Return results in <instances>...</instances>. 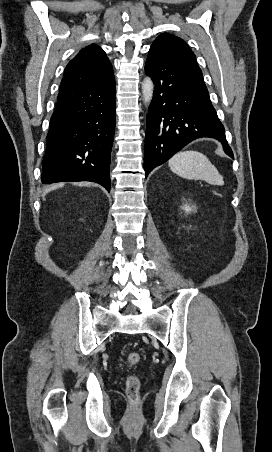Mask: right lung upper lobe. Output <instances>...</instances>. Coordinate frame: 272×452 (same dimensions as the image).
Wrapping results in <instances>:
<instances>
[{"label":"right lung upper lobe","mask_w":272,"mask_h":452,"mask_svg":"<svg viewBox=\"0 0 272 452\" xmlns=\"http://www.w3.org/2000/svg\"><path fill=\"white\" fill-rule=\"evenodd\" d=\"M114 77L105 52L96 44L81 50L66 66L60 84L58 100L99 86Z\"/></svg>","instance_id":"obj_1"}]
</instances>
